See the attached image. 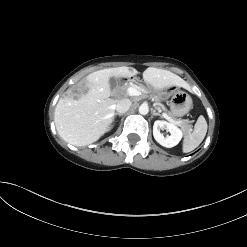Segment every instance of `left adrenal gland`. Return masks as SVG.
<instances>
[{"mask_svg": "<svg viewBox=\"0 0 247 247\" xmlns=\"http://www.w3.org/2000/svg\"><path fill=\"white\" fill-rule=\"evenodd\" d=\"M152 114L153 116H160L161 118H163V116L159 113H157L155 110H152Z\"/></svg>", "mask_w": 247, "mask_h": 247, "instance_id": "1", "label": "left adrenal gland"}]
</instances>
